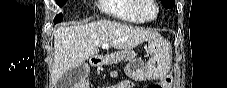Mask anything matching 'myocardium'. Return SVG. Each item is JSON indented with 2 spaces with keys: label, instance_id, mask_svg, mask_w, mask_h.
<instances>
[{
  "label": "myocardium",
  "instance_id": "1",
  "mask_svg": "<svg viewBox=\"0 0 227 88\" xmlns=\"http://www.w3.org/2000/svg\"><path fill=\"white\" fill-rule=\"evenodd\" d=\"M144 4H149L155 8L156 12H155L154 16L144 17L141 14L140 10ZM133 11L136 14V16L140 19V21L145 22V23L154 22L160 14V9H159V6H158V3L156 0H134Z\"/></svg>",
  "mask_w": 227,
  "mask_h": 88
}]
</instances>
